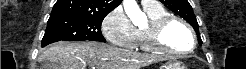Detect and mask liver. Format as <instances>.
Segmentation results:
<instances>
[{
    "label": "liver",
    "instance_id": "liver-1",
    "mask_svg": "<svg viewBox=\"0 0 246 69\" xmlns=\"http://www.w3.org/2000/svg\"><path fill=\"white\" fill-rule=\"evenodd\" d=\"M60 69H140L160 60L154 54L137 53L98 42L60 41L40 56Z\"/></svg>",
    "mask_w": 246,
    "mask_h": 69
}]
</instances>
